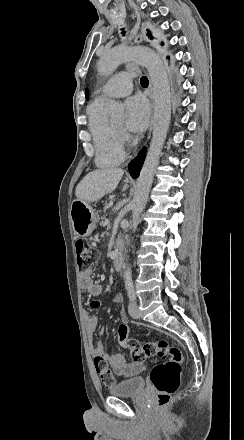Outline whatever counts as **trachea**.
<instances>
[{
	"mask_svg": "<svg viewBox=\"0 0 244 440\" xmlns=\"http://www.w3.org/2000/svg\"><path fill=\"white\" fill-rule=\"evenodd\" d=\"M121 33H122V35H125V33H126L125 29H121ZM140 82H141L142 87H147L148 83H149L147 77H141Z\"/></svg>",
	"mask_w": 244,
	"mask_h": 440,
	"instance_id": "1",
	"label": "trachea"
}]
</instances>
